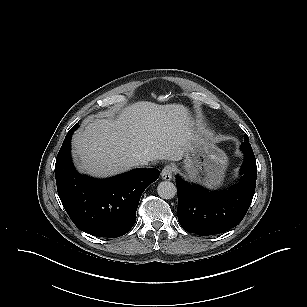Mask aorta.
<instances>
[{
    "label": "aorta",
    "mask_w": 307,
    "mask_h": 307,
    "mask_svg": "<svg viewBox=\"0 0 307 307\" xmlns=\"http://www.w3.org/2000/svg\"><path fill=\"white\" fill-rule=\"evenodd\" d=\"M158 195L163 199H172L176 195V186L170 181H162L157 187Z\"/></svg>",
    "instance_id": "obj_1"
}]
</instances>
